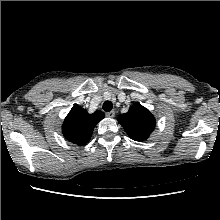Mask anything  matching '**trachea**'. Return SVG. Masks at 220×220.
Here are the masks:
<instances>
[{"label":"trachea","instance_id":"obj_1","mask_svg":"<svg viewBox=\"0 0 220 220\" xmlns=\"http://www.w3.org/2000/svg\"><path fill=\"white\" fill-rule=\"evenodd\" d=\"M112 108H113L112 102H110V101L104 102V104H103L104 111L109 112V111H111Z\"/></svg>","mask_w":220,"mask_h":220}]
</instances>
